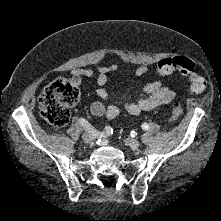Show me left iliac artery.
<instances>
[{
    "mask_svg": "<svg viewBox=\"0 0 221 221\" xmlns=\"http://www.w3.org/2000/svg\"><path fill=\"white\" fill-rule=\"evenodd\" d=\"M142 129L148 130L149 129V125L147 123L142 124Z\"/></svg>",
    "mask_w": 221,
    "mask_h": 221,
    "instance_id": "44dca946",
    "label": "left iliac artery"
}]
</instances>
